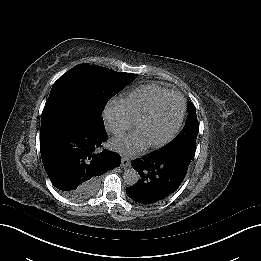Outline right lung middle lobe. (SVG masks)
<instances>
[{
  "label": "right lung middle lobe",
  "instance_id": "dd1d6c3e",
  "mask_svg": "<svg viewBox=\"0 0 261 261\" xmlns=\"http://www.w3.org/2000/svg\"><path fill=\"white\" fill-rule=\"evenodd\" d=\"M136 77L137 75L132 73L79 64L54 83L48 100H64L81 105L95 115H101L108 100ZM97 186L98 181H95L84 186L79 194H84L86 190H93Z\"/></svg>",
  "mask_w": 261,
  "mask_h": 261
}]
</instances>
